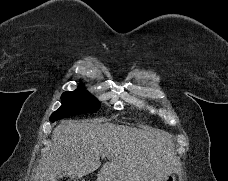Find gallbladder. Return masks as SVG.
I'll return each instance as SVG.
<instances>
[{
    "instance_id": "gallbladder-1",
    "label": "gallbladder",
    "mask_w": 228,
    "mask_h": 181,
    "mask_svg": "<svg viewBox=\"0 0 228 181\" xmlns=\"http://www.w3.org/2000/svg\"><path fill=\"white\" fill-rule=\"evenodd\" d=\"M66 173H61L59 179H62V177H65Z\"/></svg>"
}]
</instances>
